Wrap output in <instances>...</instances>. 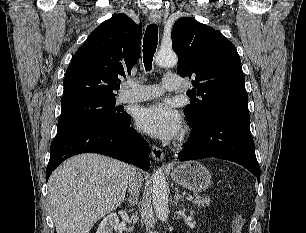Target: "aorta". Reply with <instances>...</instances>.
Here are the masks:
<instances>
[{"instance_id":"aorta-1","label":"aorta","mask_w":306,"mask_h":233,"mask_svg":"<svg viewBox=\"0 0 306 233\" xmlns=\"http://www.w3.org/2000/svg\"><path fill=\"white\" fill-rule=\"evenodd\" d=\"M155 63L161 67H172L178 63V57L172 50H160ZM151 195L156 214L160 219L166 221L169 212L167 182L161 169L156 170L153 174Z\"/></svg>"}]
</instances>
